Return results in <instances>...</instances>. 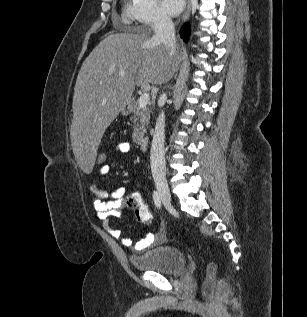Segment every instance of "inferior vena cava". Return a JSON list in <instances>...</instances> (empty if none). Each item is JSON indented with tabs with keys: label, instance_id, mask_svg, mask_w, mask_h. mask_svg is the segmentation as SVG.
Wrapping results in <instances>:
<instances>
[{
	"label": "inferior vena cava",
	"instance_id": "inferior-vena-cava-1",
	"mask_svg": "<svg viewBox=\"0 0 307 317\" xmlns=\"http://www.w3.org/2000/svg\"><path fill=\"white\" fill-rule=\"evenodd\" d=\"M153 29L155 35L153 40L155 42L163 43L169 51V55L175 54L176 39H175V28L172 19L165 15L160 14L154 21ZM161 105H164L166 101V94L161 95ZM165 115L162 111L155 125L153 132V139L150 151L151 160V172L154 178L164 177L166 172L165 163V150H164V139H165Z\"/></svg>",
	"mask_w": 307,
	"mask_h": 317
}]
</instances>
